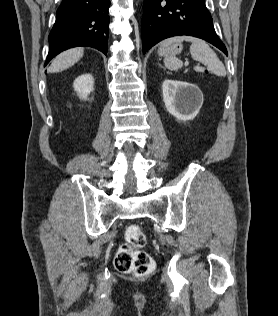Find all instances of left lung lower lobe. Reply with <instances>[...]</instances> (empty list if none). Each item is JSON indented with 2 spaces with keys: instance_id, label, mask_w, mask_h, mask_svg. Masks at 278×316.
<instances>
[{
  "instance_id": "obj_1",
  "label": "left lung lower lobe",
  "mask_w": 278,
  "mask_h": 316,
  "mask_svg": "<svg viewBox=\"0 0 278 316\" xmlns=\"http://www.w3.org/2000/svg\"><path fill=\"white\" fill-rule=\"evenodd\" d=\"M182 35L206 40L228 55L204 0H144L143 53L161 40Z\"/></svg>"
}]
</instances>
